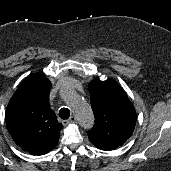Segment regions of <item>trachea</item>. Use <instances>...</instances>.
Here are the masks:
<instances>
[{
    "label": "trachea",
    "instance_id": "trachea-1",
    "mask_svg": "<svg viewBox=\"0 0 171 171\" xmlns=\"http://www.w3.org/2000/svg\"><path fill=\"white\" fill-rule=\"evenodd\" d=\"M59 116L61 119L66 120L70 116V111L67 108H61L59 111Z\"/></svg>",
    "mask_w": 171,
    "mask_h": 171
}]
</instances>
